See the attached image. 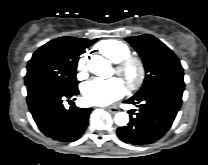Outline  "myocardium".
<instances>
[{"label":"myocardium","mask_w":208,"mask_h":165,"mask_svg":"<svg viewBox=\"0 0 208 165\" xmlns=\"http://www.w3.org/2000/svg\"><path fill=\"white\" fill-rule=\"evenodd\" d=\"M131 68H135V74L132 77L129 76ZM115 72L124 79L130 90H136L143 84L146 70L141 58L129 55L115 63Z\"/></svg>","instance_id":"1"}]
</instances>
